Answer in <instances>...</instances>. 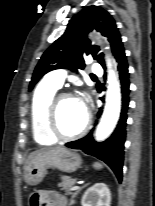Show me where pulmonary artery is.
<instances>
[{"label":"pulmonary artery","instance_id":"pulmonary-artery-1","mask_svg":"<svg viewBox=\"0 0 155 206\" xmlns=\"http://www.w3.org/2000/svg\"><path fill=\"white\" fill-rule=\"evenodd\" d=\"M92 67L95 72H101L100 65L98 63H94ZM65 77L66 72L64 70H55L46 75L45 82L55 86L56 88H60L63 85Z\"/></svg>","mask_w":155,"mask_h":206}]
</instances>
